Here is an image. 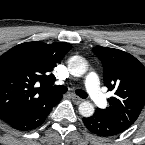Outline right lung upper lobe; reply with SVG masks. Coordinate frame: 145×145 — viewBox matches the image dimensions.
Returning <instances> with one entry per match:
<instances>
[{"label": "right lung upper lobe", "mask_w": 145, "mask_h": 145, "mask_svg": "<svg viewBox=\"0 0 145 145\" xmlns=\"http://www.w3.org/2000/svg\"><path fill=\"white\" fill-rule=\"evenodd\" d=\"M69 43L39 41L19 44L0 56V118L34 109L56 96L35 83L52 85L51 74L71 49Z\"/></svg>", "instance_id": "cb5924a9"}]
</instances>
